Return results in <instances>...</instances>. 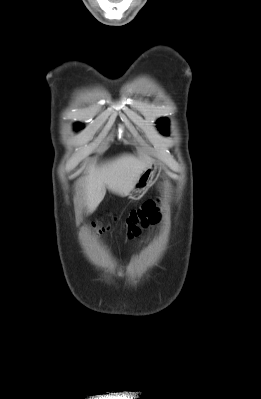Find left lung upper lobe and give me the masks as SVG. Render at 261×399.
I'll use <instances>...</instances> for the list:
<instances>
[{
  "label": "left lung upper lobe",
  "mask_w": 261,
  "mask_h": 399,
  "mask_svg": "<svg viewBox=\"0 0 261 399\" xmlns=\"http://www.w3.org/2000/svg\"><path fill=\"white\" fill-rule=\"evenodd\" d=\"M158 130L163 134H168V121L166 119H160L157 121Z\"/></svg>",
  "instance_id": "left-lung-upper-lobe-1"
}]
</instances>
